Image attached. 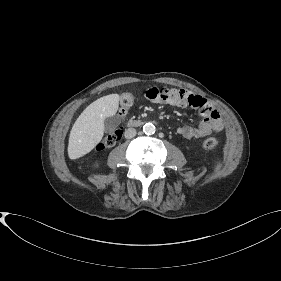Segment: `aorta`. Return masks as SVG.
<instances>
[{"label":"aorta","mask_w":281,"mask_h":281,"mask_svg":"<svg viewBox=\"0 0 281 281\" xmlns=\"http://www.w3.org/2000/svg\"><path fill=\"white\" fill-rule=\"evenodd\" d=\"M155 126L152 123H146L143 126V132L147 135H152L155 133Z\"/></svg>","instance_id":"1"}]
</instances>
